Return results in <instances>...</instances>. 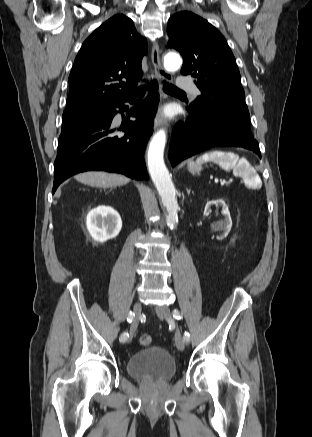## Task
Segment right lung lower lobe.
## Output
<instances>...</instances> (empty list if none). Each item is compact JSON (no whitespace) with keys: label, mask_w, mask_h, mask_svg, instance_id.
Instances as JSON below:
<instances>
[{"label":"right lung lower lobe","mask_w":312,"mask_h":437,"mask_svg":"<svg viewBox=\"0 0 312 437\" xmlns=\"http://www.w3.org/2000/svg\"><path fill=\"white\" fill-rule=\"evenodd\" d=\"M148 89L149 96L132 114L136 121L120 127L112 124L116 108L125 111L127 106L124 103L133 102L134 92L107 108L104 117L61 133L54 162L52 193L70 176L90 170L118 172L137 180L148 179L144 151L153 132L158 105L157 83L154 81Z\"/></svg>","instance_id":"obj_1"}]
</instances>
